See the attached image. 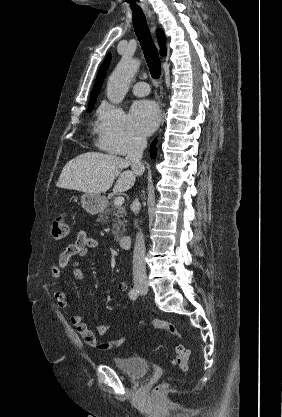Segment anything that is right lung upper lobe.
Here are the masks:
<instances>
[{
  "mask_svg": "<svg viewBox=\"0 0 282 417\" xmlns=\"http://www.w3.org/2000/svg\"><path fill=\"white\" fill-rule=\"evenodd\" d=\"M156 36H157L158 43H159V46H160V53H161V55H164L165 52H166V47H165V39H166V37H165V34H164V32L161 29H158ZM110 60H111V54L109 53L107 55V57L105 58L103 64L101 65L99 71H98L97 79L95 81V85H94L93 91L91 92V96L98 95V93H99V91L101 89V86H102L104 77L106 75V71L108 69Z\"/></svg>",
  "mask_w": 282,
  "mask_h": 417,
  "instance_id": "1",
  "label": "right lung upper lobe"
}]
</instances>
